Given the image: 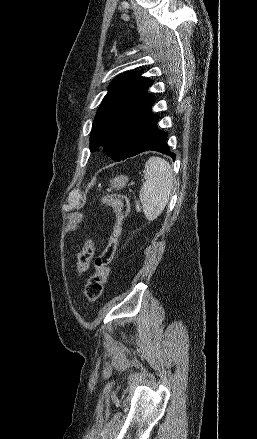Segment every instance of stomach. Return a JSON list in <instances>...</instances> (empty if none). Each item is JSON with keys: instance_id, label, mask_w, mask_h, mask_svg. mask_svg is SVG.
<instances>
[{"instance_id": "0dacf381", "label": "stomach", "mask_w": 257, "mask_h": 439, "mask_svg": "<svg viewBox=\"0 0 257 439\" xmlns=\"http://www.w3.org/2000/svg\"><path fill=\"white\" fill-rule=\"evenodd\" d=\"M128 183V177L124 175L116 176L110 180V189L121 190Z\"/></svg>"}]
</instances>
